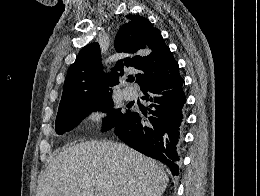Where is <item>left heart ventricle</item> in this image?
<instances>
[{"label": "left heart ventricle", "mask_w": 260, "mask_h": 196, "mask_svg": "<svg viewBox=\"0 0 260 196\" xmlns=\"http://www.w3.org/2000/svg\"><path fill=\"white\" fill-rule=\"evenodd\" d=\"M53 192H66V190H53ZM100 192H109L108 190H100Z\"/></svg>", "instance_id": "b2bd125f"}]
</instances>
